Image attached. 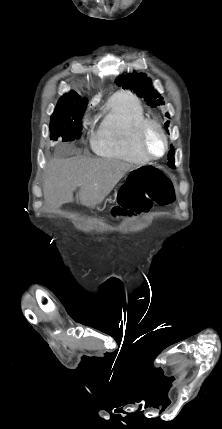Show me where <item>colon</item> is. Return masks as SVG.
<instances>
[{"label":"colon","instance_id":"colon-1","mask_svg":"<svg viewBox=\"0 0 222 429\" xmlns=\"http://www.w3.org/2000/svg\"><path fill=\"white\" fill-rule=\"evenodd\" d=\"M175 192L171 179L160 168L141 165L131 171L121 187L115 215L138 214L148 211L153 204L167 206L174 202Z\"/></svg>","mask_w":222,"mask_h":429}]
</instances>
